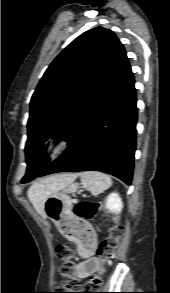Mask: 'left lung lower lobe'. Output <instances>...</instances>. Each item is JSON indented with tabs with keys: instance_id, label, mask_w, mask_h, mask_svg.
<instances>
[{
	"instance_id": "1",
	"label": "left lung lower lobe",
	"mask_w": 170,
	"mask_h": 293,
	"mask_svg": "<svg viewBox=\"0 0 170 293\" xmlns=\"http://www.w3.org/2000/svg\"><path fill=\"white\" fill-rule=\"evenodd\" d=\"M136 122L134 77L128 63L106 96L69 141L65 152L36 177L57 172L94 170L114 175L131 184ZM31 178L22 183L34 179Z\"/></svg>"
}]
</instances>
